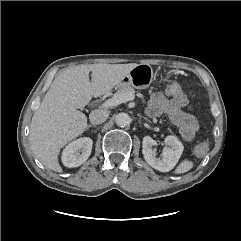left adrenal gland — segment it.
Instances as JSON below:
<instances>
[{
    "mask_svg": "<svg viewBox=\"0 0 241 241\" xmlns=\"http://www.w3.org/2000/svg\"><path fill=\"white\" fill-rule=\"evenodd\" d=\"M143 119L146 120V121H148V122H150V120H149L148 118H146V117H143Z\"/></svg>",
    "mask_w": 241,
    "mask_h": 241,
    "instance_id": "left-adrenal-gland-1",
    "label": "left adrenal gland"
}]
</instances>
